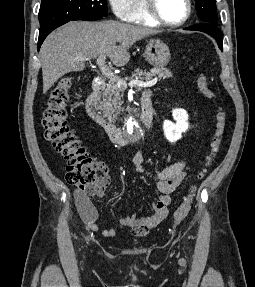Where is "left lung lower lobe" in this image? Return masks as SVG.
I'll return each mask as SVG.
<instances>
[{
    "instance_id": "left-lung-lower-lobe-1",
    "label": "left lung lower lobe",
    "mask_w": 255,
    "mask_h": 287,
    "mask_svg": "<svg viewBox=\"0 0 255 287\" xmlns=\"http://www.w3.org/2000/svg\"><path fill=\"white\" fill-rule=\"evenodd\" d=\"M185 30H195L208 33L213 36L218 43L219 48L222 50L223 35L220 29L217 27V24L212 23H200L190 27L185 28Z\"/></svg>"
}]
</instances>
